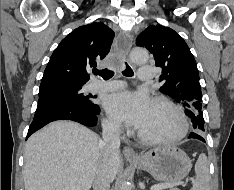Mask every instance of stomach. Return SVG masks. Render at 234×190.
<instances>
[{
	"label": "stomach",
	"instance_id": "0dacf381",
	"mask_svg": "<svg viewBox=\"0 0 234 190\" xmlns=\"http://www.w3.org/2000/svg\"><path fill=\"white\" fill-rule=\"evenodd\" d=\"M130 162L162 182L181 181L188 175L192 167L187 154L173 145L150 149L142 153L138 161Z\"/></svg>",
	"mask_w": 234,
	"mask_h": 190
}]
</instances>
